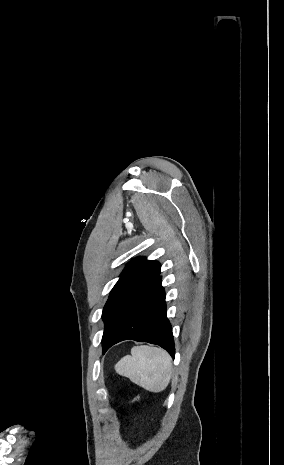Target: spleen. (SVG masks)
I'll return each mask as SVG.
<instances>
[{"label": "spleen", "instance_id": "obj_1", "mask_svg": "<svg viewBox=\"0 0 284 465\" xmlns=\"http://www.w3.org/2000/svg\"><path fill=\"white\" fill-rule=\"evenodd\" d=\"M115 371L150 393H161L172 377V359L163 349L140 345L118 361Z\"/></svg>", "mask_w": 284, "mask_h": 465}]
</instances>
